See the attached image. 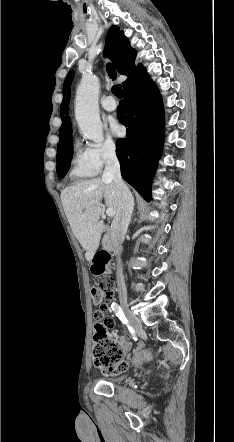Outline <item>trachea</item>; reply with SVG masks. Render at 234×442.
I'll list each match as a JSON object with an SVG mask.
<instances>
[{"mask_svg":"<svg viewBox=\"0 0 234 442\" xmlns=\"http://www.w3.org/2000/svg\"><path fill=\"white\" fill-rule=\"evenodd\" d=\"M107 72H108V74H109V76H110V78L112 80L116 79V71H115V69L113 68V66L111 64L107 65ZM111 90H112V93L116 97H118L119 99L122 98V87H121V85H119V84L113 85Z\"/></svg>","mask_w":234,"mask_h":442,"instance_id":"1","label":"trachea"}]
</instances>
